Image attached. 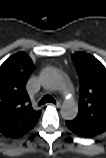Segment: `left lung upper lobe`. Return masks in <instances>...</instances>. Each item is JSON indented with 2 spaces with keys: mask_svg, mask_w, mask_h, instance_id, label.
<instances>
[{
  "mask_svg": "<svg viewBox=\"0 0 106 158\" xmlns=\"http://www.w3.org/2000/svg\"><path fill=\"white\" fill-rule=\"evenodd\" d=\"M71 58L80 81V102L78 115L66 125L79 136L94 137L106 131V68L84 52Z\"/></svg>",
  "mask_w": 106,
  "mask_h": 158,
  "instance_id": "left-lung-upper-lobe-1",
  "label": "left lung upper lobe"
}]
</instances>
